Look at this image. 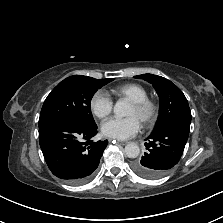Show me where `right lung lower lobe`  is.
<instances>
[{"label":"right lung lower lobe","instance_id":"obj_1","mask_svg":"<svg viewBox=\"0 0 223 223\" xmlns=\"http://www.w3.org/2000/svg\"><path fill=\"white\" fill-rule=\"evenodd\" d=\"M97 125L57 119L39 126V143L46 163L58 178L71 183L88 181L99 165L108 141L91 140Z\"/></svg>","mask_w":223,"mask_h":223}]
</instances>
